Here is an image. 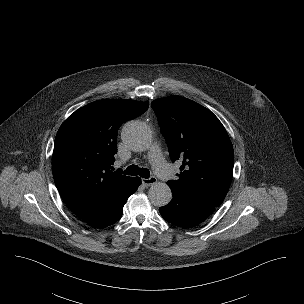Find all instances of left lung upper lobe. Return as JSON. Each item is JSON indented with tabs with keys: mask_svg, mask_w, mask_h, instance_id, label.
<instances>
[{
	"mask_svg": "<svg viewBox=\"0 0 304 304\" xmlns=\"http://www.w3.org/2000/svg\"><path fill=\"white\" fill-rule=\"evenodd\" d=\"M172 161L180 160L177 180L167 184L198 201L218 207L232 180L234 152L219 119L207 108L180 96L151 103Z\"/></svg>",
	"mask_w": 304,
	"mask_h": 304,
	"instance_id": "obj_1",
	"label": "left lung upper lobe"
}]
</instances>
